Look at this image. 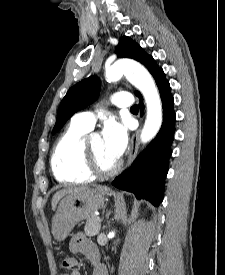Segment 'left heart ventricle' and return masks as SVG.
<instances>
[{
	"label": "left heart ventricle",
	"instance_id": "1",
	"mask_svg": "<svg viewBox=\"0 0 225 275\" xmlns=\"http://www.w3.org/2000/svg\"><path fill=\"white\" fill-rule=\"evenodd\" d=\"M89 147L91 151L94 153L98 164L103 169H109L113 167L117 161L111 159L105 150L103 139L101 137L94 138L89 141Z\"/></svg>",
	"mask_w": 225,
	"mask_h": 275
}]
</instances>
